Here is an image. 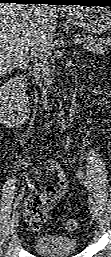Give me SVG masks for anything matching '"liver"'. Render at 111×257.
Segmentation results:
<instances>
[{
    "instance_id": "obj_1",
    "label": "liver",
    "mask_w": 111,
    "mask_h": 257,
    "mask_svg": "<svg viewBox=\"0 0 111 257\" xmlns=\"http://www.w3.org/2000/svg\"><path fill=\"white\" fill-rule=\"evenodd\" d=\"M56 9L47 5H0V74L21 66L38 40L56 30Z\"/></svg>"
}]
</instances>
